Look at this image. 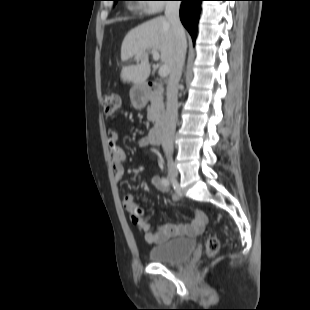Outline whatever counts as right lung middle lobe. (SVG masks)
I'll use <instances>...</instances> for the list:
<instances>
[{"mask_svg":"<svg viewBox=\"0 0 310 310\" xmlns=\"http://www.w3.org/2000/svg\"><path fill=\"white\" fill-rule=\"evenodd\" d=\"M115 3L117 2V1H119V0H113Z\"/></svg>","mask_w":310,"mask_h":310,"instance_id":"1","label":"right lung middle lobe"}]
</instances>
